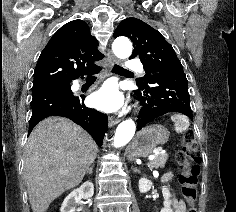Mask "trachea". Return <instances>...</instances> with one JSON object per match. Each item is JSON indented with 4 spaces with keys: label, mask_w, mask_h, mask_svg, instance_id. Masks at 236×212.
<instances>
[{
    "label": "trachea",
    "mask_w": 236,
    "mask_h": 212,
    "mask_svg": "<svg viewBox=\"0 0 236 212\" xmlns=\"http://www.w3.org/2000/svg\"><path fill=\"white\" fill-rule=\"evenodd\" d=\"M112 72H116V73H129V70H126L118 65H114ZM89 78H95V76H89Z\"/></svg>",
    "instance_id": "obj_1"
}]
</instances>
